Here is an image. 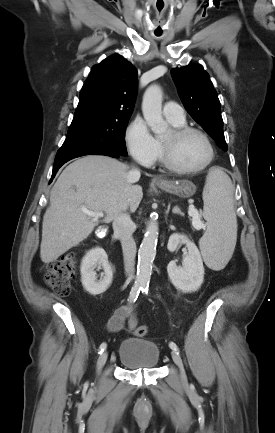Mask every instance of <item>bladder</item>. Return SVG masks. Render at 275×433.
I'll list each match as a JSON object with an SVG mask.
<instances>
[{
	"instance_id": "31cf9c89",
	"label": "bladder",
	"mask_w": 275,
	"mask_h": 433,
	"mask_svg": "<svg viewBox=\"0 0 275 433\" xmlns=\"http://www.w3.org/2000/svg\"><path fill=\"white\" fill-rule=\"evenodd\" d=\"M117 358L133 369H152L158 365L160 350L150 340L128 337L120 344Z\"/></svg>"
}]
</instances>
